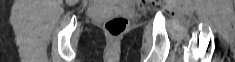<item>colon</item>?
<instances>
[{
  "label": "colon",
  "mask_w": 235,
  "mask_h": 62,
  "mask_svg": "<svg viewBox=\"0 0 235 62\" xmlns=\"http://www.w3.org/2000/svg\"><path fill=\"white\" fill-rule=\"evenodd\" d=\"M127 27L128 19L124 16L110 18L104 23V29L111 38H118L123 35Z\"/></svg>",
  "instance_id": "1"
}]
</instances>
